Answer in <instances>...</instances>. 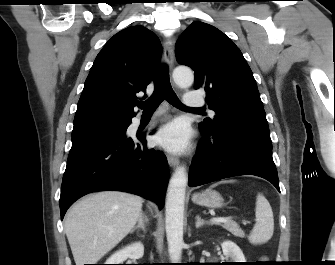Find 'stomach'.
<instances>
[{"mask_svg": "<svg viewBox=\"0 0 335 265\" xmlns=\"http://www.w3.org/2000/svg\"><path fill=\"white\" fill-rule=\"evenodd\" d=\"M192 201L198 205L209 208H220L224 204L222 196L213 190H206L202 193H196L192 196Z\"/></svg>", "mask_w": 335, "mask_h": 265, "instance_id": "0dacf381", "label": "stomach"}]
</instances>
